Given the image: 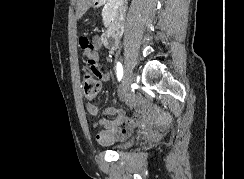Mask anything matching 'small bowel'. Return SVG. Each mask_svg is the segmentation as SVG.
Returning <instances> with one entry per match:
<instances>
[{
    "label": "small bowel",
    "mask_w": 244,
    "mask_h": 179,
    "mask_svg": "<svg viewBox=\"0 0 244 179\" xmlns=\"http://www.w3.org/2000/svg\"><path fill=\"white\" fill-rule=\"evenodd\" d=\"M80 47L87 57L86 66L96 68L100 63V52L104 49H109L105 46L100 35H93L90 38L84 35L80 39ZM101 79L107 81L110 79V73L107 70L101 72ZM135 107V115L128 117L123 110L118 108H108L106 113L115 116L113 120L101 119L99 125L105 127L104 131H101L97 139L103 145H111L116 141L121 140L132 127L136 126L140 122V115L142 110L140 106L133 104ZM86 110L91 115H97L99 113L98 108L89 103L86 105Z\"/></svg>",
    "instance_id": "obj_1"
}]
</instances>
